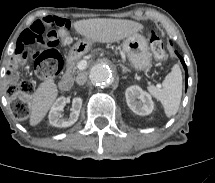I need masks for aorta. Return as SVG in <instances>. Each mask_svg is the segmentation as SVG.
I'll return each instance as SVG.
<instances>
[{"mask_svg": "<svg viewBox=\"0 0 215 183\" xmlns=\"http://www.w3.org/2000/svg\"><path fill=\"white\" fill-rule=\"evenodd\" d=\"M89 77L94 85L106 87L113 82L114 71L107 63L100 62L91 68Z\"/></svg>", "mask_w": 215, "mask_h": 183, "instance_id": "762f6f07", "label": "aorta"}]
</instances>
